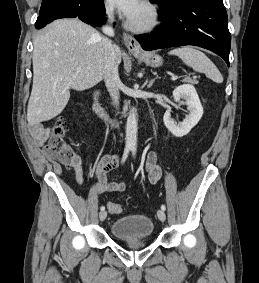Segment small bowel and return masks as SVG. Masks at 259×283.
<instances>
[{
    "instance_id": "c3829d8e",
    "label": "small bowel",
    "mask_w": 259,
    "mask_h": 283,
    "mask_svg": "<svg viewBox=\"0 0 259 283\" xmlns=\"http://www.w3.org/2000/svg\"><path fill=\"white\" fill-rule=\"evenodd\" d=\"M30 135L36 146H42L52 133L51 127H44L41 123L30 126ZM120 164L118 156L104 154L100 161L95 165L91 177L97 182L93 185L96 193L102 195L112 192H123L126 189V183L123 181H111L108 179V173L117 168ZM77 181L82 184L84 182L83 168L81 162L74 166ZM146 170L150 183L155 184L161 178V168L157 163V156L154 152H150L146 158Z\"/></svg>"
}]
</instances>
